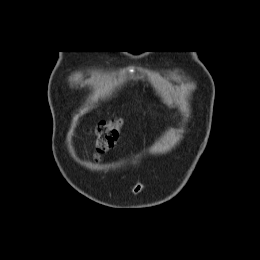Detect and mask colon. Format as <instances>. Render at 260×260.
Returning <instances> with one entry per match:
<instances>
[{"mask_svg": "<svg viewBox=\"0 0 260 260\" xmlns=\"http://www.w3.org/2000/svg\"><path fill=\"white\" fill-rule=\"evenodd\" d=\"M121 126L122 121L119 119H113L99 123L96 131V147L98 157L107 153L118 142Z\"/></svg>", "mask_w": 260, "mask_h": 260, "instance_id": "5ec220e1", "label": "colon"}]
</instances>
